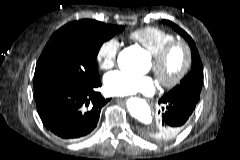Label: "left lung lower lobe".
Listing matches in <instances>:
<instances>
[{"mask_svg": "<svg viewBox=\"0 0 240 160\" xmlns=\"http://www.w3.org/2000/svg\"><path fill=\"white\" fill-rule=\"evenodd\" d=\"M163 105L160 125L140 128V133L155 141L168 140L176 136L187 123L198 101L184 96L164 95L159 99Z\"/></svg>", "mask_w": 240, "mask_h": 160, "instance_id": "1", "label": "left lung lower lobe"}]
</instances>
